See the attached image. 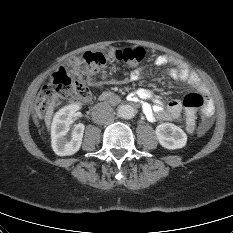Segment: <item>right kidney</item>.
Instances as JSON below:
<instances>
[{
  "mask_svg": "<svg viewBox=\"0 0 233 233\" xmlns=\"http://www.w3.org/2000/svg\"><path fill=\"white\" fill-rule=\"evenodd\" d=\"M79 109L76 104H71L60 109L54 116L51 127L53 151L58 156L75 154L81 147L85 125L79 123L72 130L71 137H67L70 121Z\"/></svg>",
  "mask_w": 233,
  "mask_h": 233,
  "instance_id": "right-kidney-1",
  "label": "right kidney"
}]
</instances>
